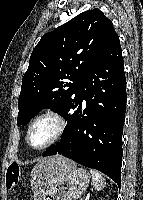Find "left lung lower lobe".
<instances>
[{"instance_id": "left-lung-lower-lobe-1", "label": "left lung lower lobe", "mask_w": 143, "mask_h": 200, "mask_svg": "<svg viewBox=\"0 0 143 200\" xmlns=\"http://www.w3.org/2000/svg\"><path fill=\"white\" fill-rule=\"evenodd\" d=\"M126 101L124 62L116 35L79 79L62 139L43 156L62 154L103 172L120 186Z\"/></svg>"}]
</instances>
